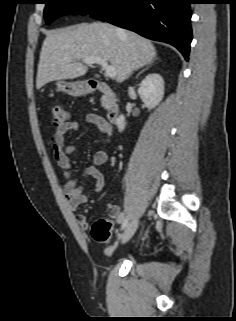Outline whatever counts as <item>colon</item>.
<instances>
[{
	"label": "colon",
	"mask_w": 236,
	"mask_h": 321,
	"mask_svg": "<svg viewBox=\"0 0 236 321\" xmlns=\"http://www.w3.org/2000/svg\"><path fill=\"white\" fill-rule=\"evenodd\" d=\"M52 112L54 125L61 126L69 121L68 112L62 106H54ZM111 228L109 220L100 218L93 223L90 234L97 242H107L111 238Z\"/></svg>",
	"instance_id": "1"
}]
</instances>
